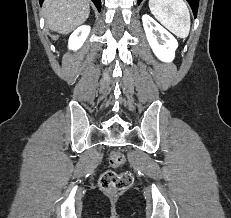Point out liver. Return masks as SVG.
Wrapping results in <instances>:
<instances>
[{
    "mask_svg": "<svg viewBox=\"0 0 231 218\" xmlns=\"http://www.w3.org/2000/svg\"><path fill=\"white\" fill-rule=\"evenodd\" d=\"M89 13V0H45L43 4L48 27L61 34H68L84 23Z\"/></svg>",
    "mask_w": 231,
    "mask_h": 218,
    "instance_id": "obj_1",
    "label": "liver"
}]
</instances>
